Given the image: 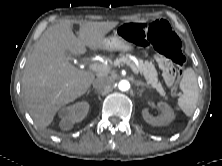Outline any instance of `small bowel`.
Listing matches in <instances>:
<instances>
[{
    "instance_id": "c3829d8e",
    "label": "small bowel",
    "mask_w": 222,
    "mask_h": 166,
    "mask_svg": "<svg viewBox=\"0 0 222 166\" xmlns=\"http://www.w3.org/2000/svg\"><path fill=\"white\" fill-rule=\"evenodd\" d=\"M161 61H162V56L160 55L156 56V62L158 63L159 67H160Z\"/></svg>"
}]
</instances>
